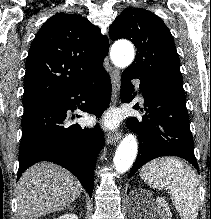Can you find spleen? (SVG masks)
I'll return each instance as SVG.
<instances>
[{
  "label": "spleen",
  "instance_id": "obj_1",
  "mask_svg": "<svg viewBox=\"0 0 211 219\" xmlns=\"http://www.w3.org/2000/svg\"><path fill=\"white\" fill-rule=\"evenodd\" d=\"M140 176L153 188L170 190L181 219H197L199 181L195 171L184 161L173 157L152 160L141 169Z\"/></svg>",
  "mask_w": 211,
  "mask_h": 219
}]
</instances>
